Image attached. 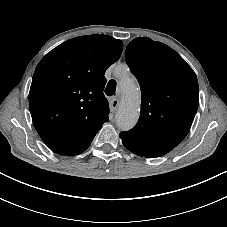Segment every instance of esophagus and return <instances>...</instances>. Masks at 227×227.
Wrapping results in <instances>:
<instances>
[{"mask_svg": "<svg viewBox=\"0 0 227 227\" xmlns=\"http://www.w3.org/2000/svg\"><path fill=\"white\" fill-rule=\"evenodd\" d=\"M119 106V99L118 98H114L110 101V110L112 112H115L117 110Z\"/></svg>", "mask_w": 227, "mask_h": 227, "instance_id": "obj_1", "label": "esophagus"}]
</instances>
